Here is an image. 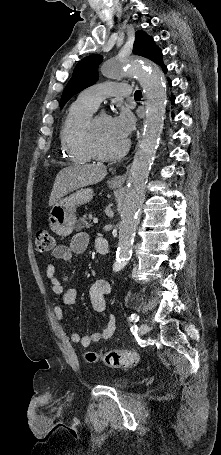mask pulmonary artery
<instances>
[{"mask_svg":"<svg viewBox=\"0 0 221 455\" xmlns=\"http://www.w3.org/2000/svg\"><path fill=\"white\" fill-rule=\"evenodd\" d=\"M131 94V87L126 83L103 82L92 85L80 93L81 99L94 108H97L100 102L109 96Z\"/></svg>","mask_w":221,"mask_h":455,"instance_id":"pulmonary-artery-1","label":"pulmonary artery"}]
</instances>
